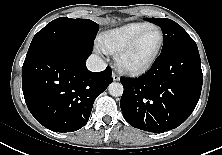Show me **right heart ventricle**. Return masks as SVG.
I'll return each mask as SVG.
<instances>
[{
    "mask_svg": "<svg viewBox=\"0 0 222 155\" xmlns=\"http://www.w3.org/2000/svg\"><path fill=\"white\" fill-rule=\"evenodd\" d=\"M152 25L153 24L148 22H131L110 29L100 35L99 45L103 51L110 54H116L137 34Z\"/></svg>",
    "mask_w": 222,
    "mask_h": 155,
    "instance_id": "obj_1",
    "label": "right heart ventricle"
}]
</instances>
